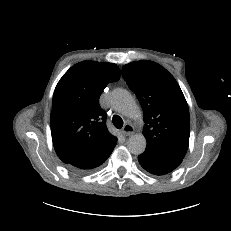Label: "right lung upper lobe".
Wrapping results in <instances>:
<instances>
[{
    "label": "right lung upper lobe",
    "mask_w": 231,
    "mask_h": 231,
    "mask_svg": "<svg viewBox=\"0 0 231 231\" xmlns=\"http://www.w3.org/2000/svg\"><path fill=\"white\" fill-rule=\"evenodd\" d=\"M120 79L116 64L82 61L58 82L52 102L51 134L58 157L68 160L95 156L117 142L106 127L99 97L108 83Z\"/></svg>",
    "instance_id": "obj_1"
}]
</instances>
